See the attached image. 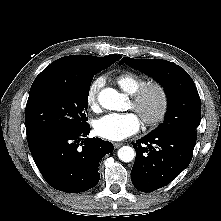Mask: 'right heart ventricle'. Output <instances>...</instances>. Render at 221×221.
Segmentation results:
<instances>
[{
    "label": "right heart ventricle",
    "instance_id": "1",
    "mask_svg": "<svg viewBox=\"0 0 221 221\" xmlns=\"http://www.w3.org/2000/svg\"><path fill=\"white\" fill-rule=\"evenodd\" d=\"M116 83L124 92L132 95L147 81L143 76L127 71L117 76Z\"/></svg>",
    "mask_w": 221,
    "mask_h": 221
}]
</instances>
